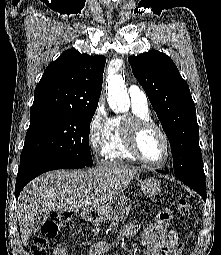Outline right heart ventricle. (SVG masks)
I'll list each match as a JSON object with an SVG mask.
<instances>
[{"instance_id": "1", "label": "right heart ventricle", "mask_w": 221, "mask_h": 255, "mask_svg": "<svg viewBox=\"0 0 221 255\" xmlns=\"http://www.w3.org/2000/svg\"><path fill=\"white\" fill-rule=\"evenodd\" d=\"M128 118L150 119L148 106L132 103V111ZM124 119L113 118L109 133L105 139L102 154L109 160L136 161L137 158L128 150L123 135Z\"/></svg>"}]
</instances>
